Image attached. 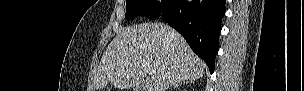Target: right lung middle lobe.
<instances>
[{
    "label": "right lung middle lobe",
    "mask_w": 304,
    "mask_h": 91,
    "mask_svg": "<svg viewBox=\"0 0 304 91\" xmlns=\"http://www.w3.org/2000/svg\"><path fill=\"white\" fill-rule=\"evenodd\" d=\"M169 0L158 2L156 0H126L127 20H132L137 15H145L148 18H158Z\"/></svg>",
    "instance_id": "dd1d6c3e"
}]
</instances>
